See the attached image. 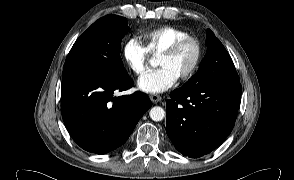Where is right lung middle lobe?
<instances>
[{"mask_svg": "<svg viewBox=\"0 0 294 180\" xmlns=\"http://www.w3.org/2000/svg\"><path fill=\"white\" fill-rule=\"evenodd\" d=\"M128 30L125 17L107 15L98 19L72 46L62 81L82 75L129 77L120 57L121 41Z\"/></svg>", "mask_w": 294, "mask_h": 180, "instance_id": "dd1d6c3e", "label": "right lung middle lobe"}]
</instances>
